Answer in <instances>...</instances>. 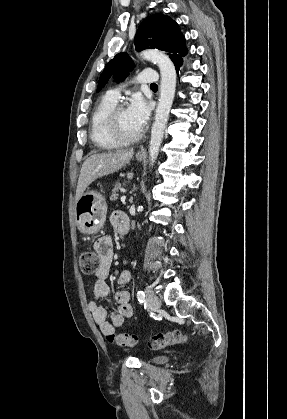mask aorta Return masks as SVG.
Listing matches in <instances>:
<instances>
[{"label":"aorta","instance_id":"1","mask_svg":"<svg viewBox=\"0 0 287 419\" xmlns=\"http://www.w3.org/2000/svg\"><path fill=\"white\" fill-rule=\"evenodd\" d=\"M142 58L158 65L161 74L160 97L155 111V119L151 128L149 144L150 166H153L163 141L165 128L169 118L176 90V70L170 58L161 51L148 49L141 53Z\"/></svg>","mask_w":287,"mask_h":419}]
</instances>
